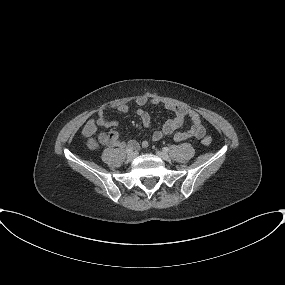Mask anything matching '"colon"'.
Wrapping results in <instances>:
<instances>
[{
  "instance_id": "colon-1",
  "label": "colon",
  "mask_w": 285,
  "mask_h": 285,
  "mask_svg": "<svg viewBox=\"0 0 285 285\" xmlns=\"http://www.w3.org/2000/svg\"><path fill=\"white\" fill-rule=\"evenodd\" d=\"M203 144L205 145H209L211 143V138L210 137H205L203 140H202Z\"/></svg>"
}]
</instances>
